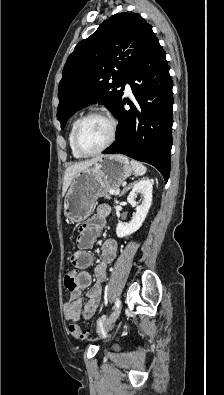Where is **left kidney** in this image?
Listing matches in <instances>:
<instances>
[{
    "instance_id": "5707ae66",
    "label": "left kidney",
    "mask_w": 224,
    "mask_h": 395,
    "mask_svg": "<svg viewBox=\"0 0 224 395\" xmlns=\"http://www.w3.org/2000/svg\"><path fill=\"white\" fill-rule=\"evenodd\" d=\"M152 190V181L148 178H143L134 184L127 197V201L132 207H136V213L132 217L131 222L117 224L116 234L119 238L133 234L142 226L152 203ZM138 194L142 196V203L140 205H137L135 201Z\"/></svg>"
}]
</instances>
